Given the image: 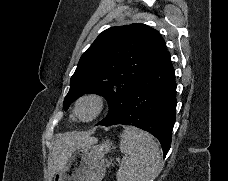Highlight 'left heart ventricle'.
<instances>
[{
  "instance_id": "obj_1",
  "label": "left heart ventricle",
  "mask_w": 228,
  "mask_h": 181,
  "mask_svg": "<svg viewBox=\"0 0 228 181\" xmlns=\"http://www.w3.org/2000/svg\"><path fill=\"white\" fill-rule=\"evenodd\" d=\"M80 112L82 115H88L89 114V108L87 106H83Z\"/></svg>"
}]
</instances>
